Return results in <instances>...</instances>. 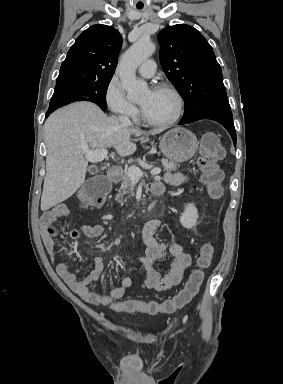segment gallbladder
Here are the masks:
<instances>
[{
  "label": "gallbladder",
  "mask_w": 283,
  "mask_h": 384,
  "mask_svg": "<svg viewBox=\"0 0 283 384\" xmlns=\"http://www.w3.org/2000/svg\"><path fill=\"white\" fill-rule=\"evenodd\" d=\"M92 172H101V165H92Z\"/></svg>",
  "instance_id": "bac80fb5"
}]
</instances>
